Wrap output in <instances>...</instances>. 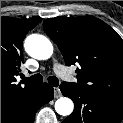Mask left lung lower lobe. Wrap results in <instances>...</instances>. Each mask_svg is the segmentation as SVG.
Wrapping results in <instances>:
<instances>
[{
    "label": "left lung lower lobe",
    "mask_w": 123,
    "mask_h": 123,
    "mask_svg": "<svg viewBox=\"0 0 123 123\" xmlns=\"http://www.w3.org/2000/svg\"><path fill=\"white\" fill-rule=\"evenodd\" d=\"M60 90L75 105L73 113L62 123H120L123 119V101L98 96L68 82H63Z\"/></svg>",
    "instance_id": "left-lung-lower-lobe-1"
}]
</instances>
